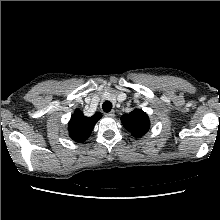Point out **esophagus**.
Here are the masks:
<instances>
[{"instance_id": "34e87169", "label": "esophagus", "mask_w": 220, "mask_h": 220, "mask_svg": "<svg viewBox=\"0 0 220 220\" xmlns=\"http://www.w3.org/2000/svg\"><path fill=\"white\" fill-rule=\"evenodd\" d=\"M114 113H115V112L112 110V111L106 113L105 115L108 116V117H113V116H114Z\"/></svg>"}]
</instances>
